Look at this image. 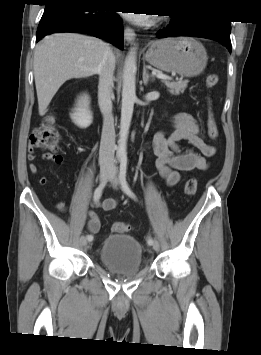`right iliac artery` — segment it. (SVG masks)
Segmentation results:
<instances>
[{
  "instance_id": "obj_1",
  "label": "right iliac artery",
  "mask_w": 261,
  "mask_h": 355,
  "mask_svg": "<svg viewBox=\"0 0 261 355\" xmlns=\"http://www.w3.org/2000/svg\"><path fill=\"white\" fill-rule=\"evenodd\" d=\"M106 183H107V182H104V183L100 184V185L96 188V190H95V192H94V201H98V200L100 199V197H101V195H102V192H103V189H104ZM87 240H88V241H92V240H93V236H92V235H87Z\"/></svg>"
}]
</instances>
